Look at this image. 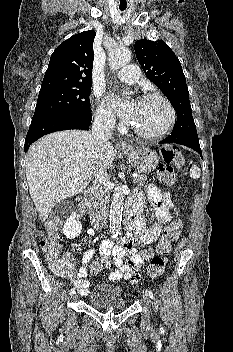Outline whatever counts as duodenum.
Segmentation results:
<instances>
[{
	"label": "duodenum",
	"instance_id": "1",
	"mask_svg": "<svg viewBox=\"0 0 233 352\" xmlns=\"http://www.w3.org/2000/svg\"><path fill=\"white\" fill-rule=\"evenodd\" d=\"M84 204L88 208L90 214L92 216H97L98 215V206L95 202V191L94 188H89L86 190L84 194ZM136 210V203L134 201H130L125 209V216L126 219L129 218L134 214Z\"/></svg>",
	"mask_w": 233,
	"mask_h": 352
}]
</instances>
